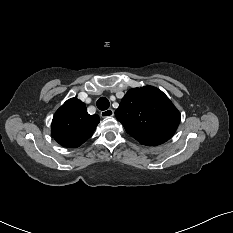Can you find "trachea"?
<instances>
[{
	"label": "trachea",
	"mask_w": 233,
	"mask_h": 233,
	"mask_svg": "<svg viewBox=\"0 0 233 233\" xmlns=\"http://www.w3.org/2000/svg\"><path fill=\"white\" fill-rule=\"evenodd\" d=\"M96 104H97L98 109L101 111L107 110L110 105L108 99L105 97L99 98Z\"/></svg>",
	"instance_id": "trachea-1"
}]
</instances>
